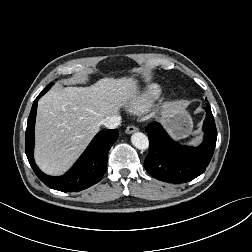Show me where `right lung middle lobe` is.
I'll use <instances>...</instances> for the list:
<instances>
[{
    "label": "right lung middle lobe",
    "instance_id": "1",
    "mask_svg": "<svg viewBox=\"0 0 252 252\" xmlns=\"http://www.w3.org/2000/svg\"><path fill=\"white\" fill-rule=\"evenodd\" d=\"M52 85L53 83L49 84L44 90L48 91Z\"/></svg>",
    "mask_w": 252,
    "mask_h": 252
}]
</instances>
